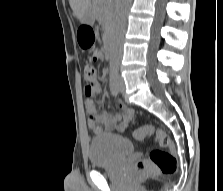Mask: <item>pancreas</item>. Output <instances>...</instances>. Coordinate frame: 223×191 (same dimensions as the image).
I'll return each instance as SVG.
<instances>
[{"label": "pancreas", "instance_id": "pancreas-1", "mask_svg": "<svg viewBox=\"0 0 223 191\" xmlns=\"http://www.w3.org/2000/svg\"><path fill=\"white\" fill-rule=\"evenodd\" d=\"M91 8L97 19L107 27L112 17L113 4L111 0H93Z\"/></svg>", "mask_w": 223, "mask_h": 191}]
</instances>
